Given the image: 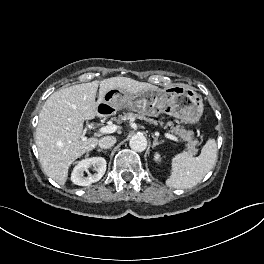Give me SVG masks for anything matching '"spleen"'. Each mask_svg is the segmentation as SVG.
Returning <instances> with one entry per match:
<instances>
[{
    "label": "spleen",
    "instance_id": "obj_1",
    "mask_svg": "<svg viewBox=\"0 0 264 264\" xmlns=\"http://www.w3.org/2000/svg\"><path fill=\"white\" fill-rule=\"evenodd\" d=\"M217 161V144L209 139L198 157L188 152L175 155L171 162V175L166 180L168 187L177 189L192 188L214 167Z\"/></svg>",
    "mask_w": 264,
    "mask_h": 264
}]
</instances>
